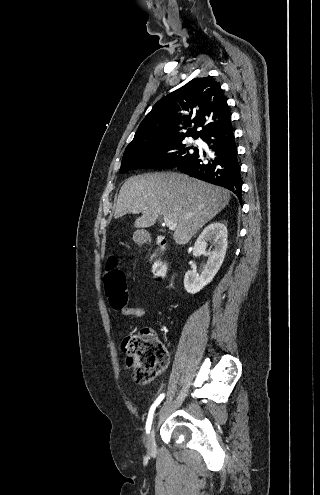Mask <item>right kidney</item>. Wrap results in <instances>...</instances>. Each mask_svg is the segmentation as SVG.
I'll use <instances>...</instances> for the list:
<instances>
[{"mask_svg": "<svg viewBox=\"0 0 320 495\" xmlns=\"http://www.w3.org/2000/svg\"><path fill=\"white\" fill-rule=\"evenodd\" d=\"M227 227L220 222L208 225L199 235L193 247V255H208V261L199 276L195 271H188L184 277L186 292L195 294L209 284L219 271L227 250ZM213 243V250L207 252L208 243Z\"/></svg>", "mask_w": 320, "mask_h": 495, "instance_id": "ca27d5eb", "label": "right kidney"}]
</instances>
